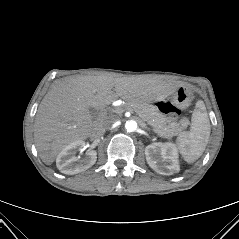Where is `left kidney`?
Here are the masks:
<instances>
[{"label": "left kidney", "mask_w": 239, "mask_h": 239, "mask_svg": "<svg viewBox=\"0 0 239 239\" xmlns=\"http://www.w3.org/2000/svg\"><path fill=\"white\" fill-rule=\"evenodd\" d=\"M148 165L160 175H173L179 171L178 149L174 143L156 142L145 148Z\"/></svg>", "instance_id": "obj_1"}]
</instances>
